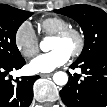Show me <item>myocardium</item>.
<instances>
[{
  "label": "myocardium",
  "mask_w": 107,
  "mask_h": 107,
  "mask_svg": "<svg viewBox=\"0 0 107 107\" xmlns=\"http://www.w3.org/2000/svg\"><path fill=\"white\" fill-rule=\"evenodd\" d=\"M70 36H74L77 39V45L76 47L71 51L70 56L71 57H78L85 48V35L79 28L76 27H67L56 34L53 35V38L58 40H65Z\"/></svg>",
  "instance_id": "obj_1"
}]
</instances>
